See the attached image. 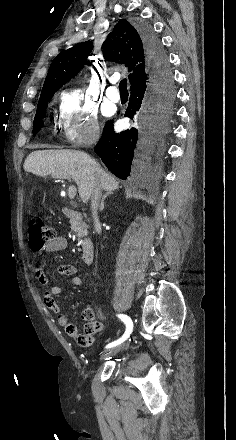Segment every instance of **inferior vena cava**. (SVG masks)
Masks as SVG:
<instances>
[{"instance_id":"602c4592","label":"inferior vena cava","mask_w":236,"mask_h":440,"mask_svg":"<svg viewBox=\"0 0 236 440\" xmlns=\"http://www.w3.org/2000/svg\"><path fill=\"white\" fill-rule=\"evenodd\" d=\"M101 198V187L99 185V183H97L94 186L92 195H91V210H92V217L94 220V224L95 226H99V218H98V206H99V201Z\"/></svg>"}]
</instances>
